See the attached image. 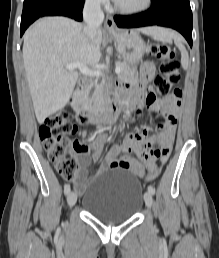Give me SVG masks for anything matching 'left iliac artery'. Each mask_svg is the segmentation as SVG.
Listing matches in <instances>:
<instances>
[{
    "label": "left iliac artery",
    "instance_id": "left-iliac-artery-1",
    "mask_svg": "<svg viewBox=\"0 0 219 258\" xmlns=\"http://www.w3.org/2000/svg\"><path fill=\"white\" fill-rule=\"evenodd\" d=\"M147 190L149 193L155 194V188L153 186H148Z\"/></svg>",
    "mask_w": 219,
    "mask_h": 258
}]
</instances>
